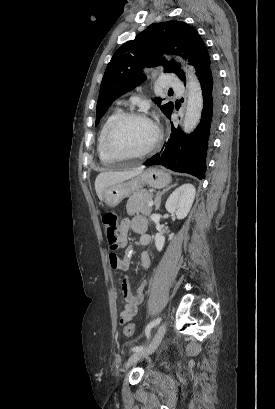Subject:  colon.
Here are the masks:
<instances>
[{"label": "colon", "mask_w": 275, "mask_h": 409, "mask_svg": "<svg viewBox=\"0 0 275 409\" xmlns=\"http://www.w3.org/2000/svg\"><path fill=\"white\" fill-rule=\"evenodd\" d=\"M102 223L105 227L106 237L110 249L115 248L118 250L121 242V230L118 226L117 213L106 212L102 216ZM123 332L125 337H132L135 332V324L127 323L123 328Z\"/></svg>", "instance_id": "5ec220e1"}]
</instances>
